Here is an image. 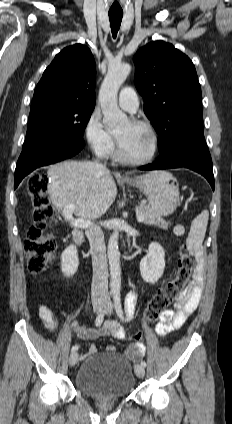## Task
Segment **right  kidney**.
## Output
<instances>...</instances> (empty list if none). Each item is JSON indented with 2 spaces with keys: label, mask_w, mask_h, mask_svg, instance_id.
<instances>
[{
  "label": "right kidney",
  "mask_w": 232,
  "mask_h": 424,
  "mask_svg": "<svg viewBox=\"0 0 232 424\" xmlns=\"http://www.w3.org/2000/svg\"><path fill=\"white\" fill-rule=\"evenodd\" d=\"M79 266L78 251L76 246H68L61 255V270L66 277L73 276Z\"/></svg>",
  "instance_id": "obj_1"
}]
</instances>
